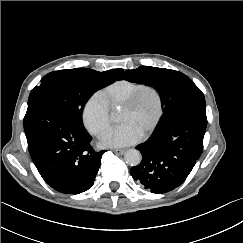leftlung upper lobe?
Segmentation results:
<instances>
[{"label":"left lung upper lobe","mask_w":243,"mask_h":243,"mask_svg":"<svg viewBox=\"0 0 243 243\" xmlns=\"http://www.w3.org/2000/svg\"><path fill=\"white\" fill-rule=\"evenodd\" d=\"M153 86L160 95L163 115L154 131L181 108L190 103L205 101L201 90L194 82L179 71L170 69L141 66L137 69L127 70L119 80Z\"/></svg>","instance_id":"5c2ea615"}]
</instances>
